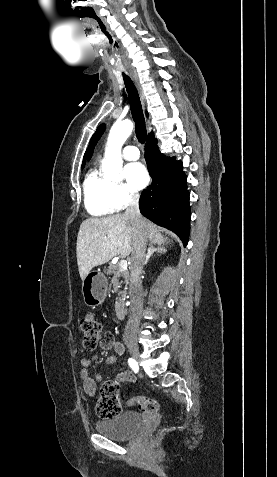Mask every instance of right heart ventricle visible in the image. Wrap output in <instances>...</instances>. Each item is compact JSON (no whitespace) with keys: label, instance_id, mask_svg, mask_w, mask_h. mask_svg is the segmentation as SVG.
<instances>
[{"label":"right heart ventricle","instance_id":"e07e8e85","mask_svg":"<svg viewBox=\"0 0 277 477\" xmlns=\"http://www.w3.org/2000/svg\"><path fill=\"white\" fill-rule=\"evenodd\" d=\"M112 187L113 183L96 166L88 170L83 181V195L85 208L90 215L103 217L116 211Z\"/></svg>","mask_w":277,"mask_h":477}]
</instances>
